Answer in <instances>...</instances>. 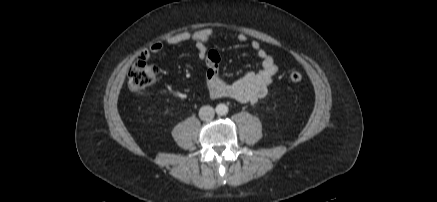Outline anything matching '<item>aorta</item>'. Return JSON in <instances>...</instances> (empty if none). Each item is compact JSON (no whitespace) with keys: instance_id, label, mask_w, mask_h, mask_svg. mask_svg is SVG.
<instances>
[{"instance_id":"1","label":"aorta","mask_w":437,"mask_h":202,"mask_svg":"<svg viewBox=\"0 0 437 202\" xmlns=\"http://www.w3.org/2000/svg\"><path fill=\"white\" fill-rule=\"evenodd\" d=\"M216 113L218 114V115H226L227 113H228V107H227V105H225V104H223V103H221V104H218L217 106H216Z\"/></svg>"}]
</instances>
